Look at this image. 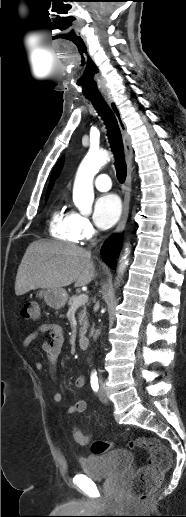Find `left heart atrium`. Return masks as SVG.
<instances>
[{
    "label": "left heart atrium",
    "instance_id": "obj_1",
    "mask_svg": "<svg viewBox=\"0 0 186 517\" xmlns=\"http://www.w3.org/2000/svg\"><path fill=\"white\" fill-rule=\"evenodd\" d=\"M121 214V202L114 194L99 197L94 206V221L101 229L113 226Z\"/></svg>",
    "mask_w": 186,
    "mask_h": 517
}]
</instances>
